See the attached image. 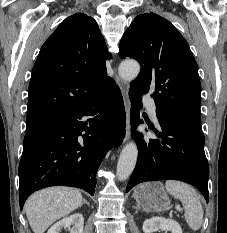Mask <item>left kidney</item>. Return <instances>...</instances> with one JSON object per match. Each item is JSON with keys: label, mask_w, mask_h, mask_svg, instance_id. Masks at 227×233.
I'll list each match as a JSON object with an SVG mask.
<instances>
[{"label": "left kidney", "mask_w": 227, "mask_h": 233, "mask_svg": "<svg viewBox=\"0 0 227 233\" xmlns=\"http://www.w3.org/2000/svg\"><path fill=\"white\" fill-rule=\"evenodd\" d=\"M142 229L144 233H153L158 230L182 233L181 226L178 222L162 217H153L149 220H145Z\"/></svg>", "instance_id": "left-kidney-1"}]
</instances>
